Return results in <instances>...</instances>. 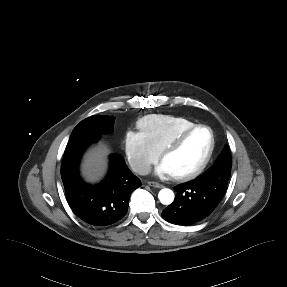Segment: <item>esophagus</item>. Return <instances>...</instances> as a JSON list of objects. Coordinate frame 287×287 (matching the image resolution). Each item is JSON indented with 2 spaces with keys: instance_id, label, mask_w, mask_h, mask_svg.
<instances>
[{
  "instance_id": "obj_1",
  "label": "esophagus",
  "mask_w": 287,
  "mask_h": 287,
  "mask_svg": "<svg viewBox=\"0 0 287 287\" xmlns=\"http://www.w3.org/2000/svg\"><path fill=\"white\" fill-rule=\"evenodd\" d=\"M148 184L151 186V187H155V188H163V185L162 184H159L157 182H148Z\"/></svg>"
}]
</instances>
